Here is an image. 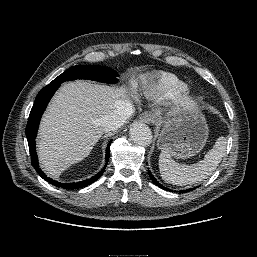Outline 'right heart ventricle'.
Masks as SVG:
<instances>
[{"instance_id":"1","label":"right heart ventricle","mask_w":257,"mask_h":257,"mask_svg":"<svg viewBox=\"0 0 257 257\" xmlns=\"http://www.w3.org/2000/svg\"><path fill=\"white\" fill-rule=\"evenodd\" d=\"M187 89V84L177 76L159 72L149 77L142 87L144 96L150 99H170Z\"/></svg>"}]
</instances>
